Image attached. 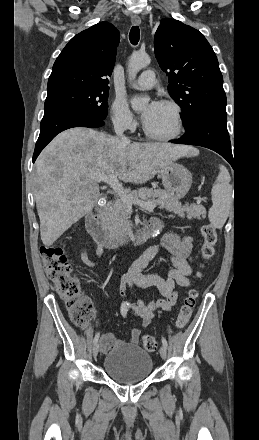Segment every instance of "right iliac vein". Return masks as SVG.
I'll return each instance as SVG.
<instances>
[{"label": "right iliac vein", "instance_id": "1", "mask_svg": "<svg viewBox=\"0 0 259 440\" xmlns=\"http://www.w3.org/2000/svg\"><path fill=\"white\" fill-rule=\"evenodd\" d=\"M99 348H100V347H99V344H98V343H95L94 346H93V352H92L94 358L97 357V355H98V353H99Z\"/></svg>", "mask_w": 259, "mask_h": 440}]
</instances>
